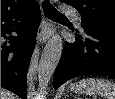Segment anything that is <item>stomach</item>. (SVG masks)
I'll list each match as a JSON object with an SVG mask.
<instances>
[{"label": "stomach", "instance_id": "obj_1", "mask_svg": "<svg viewBox=\"0 0 115 99\" xmlns=\"http://www.w3.org/2000/svg\"><path fill=\"white\" fill-rule=\"evenodd\" d=\"M71 90L72 91H75V92H78L79 90H80V87H79V85H75V84H73L72 86H71Z\"/></svg>", "mask_w": 115, "mask_h": 99}]
</instances>
